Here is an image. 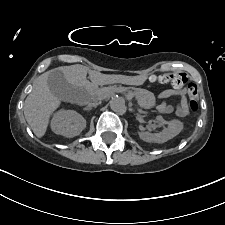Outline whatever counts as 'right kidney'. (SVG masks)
Here are the masks:
<instances>
[{"label": "right kidney", "mask_w": 225, "mask_h": 225, "mask_svg": "<svg viewBox=\"0 0 225 225\" xmlns=\"http://www.w3.org/2000/svg\"><path fill=\"white\" fill-rule=\"evenodd\" d=\"M86 127L84 117L74 110H60L51 120V129L65 137H75Z\"/></svg>", "instance_id": "ca27d5eb"}]
</instances>
